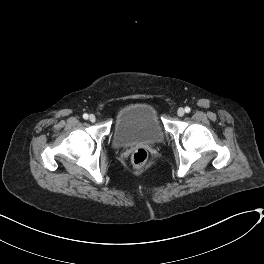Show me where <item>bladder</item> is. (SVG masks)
<instances>
[{
  "label": "bladder",
  "mask_w": 264,
  "mask_h": 264,
  "mask_svg": "<svg viewBox=\"0 0 264 264\" xmlns=\"http://www.w3.org/2000/svg\"><path fill=\"white\" fill-rule=\"evenodd\" d=\"M164 139V129L155 109L136 103L122 109L115 121L112 144L125 148L135 144H157Z\"/></svg>",
  "instance_id": "31cf9c89"
}]
</instances>
